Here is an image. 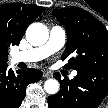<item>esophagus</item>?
Here are the masks:
<instances>
[{
	"label": "esophagus",
	"mask_w": 108,
	"mask_h": 108,
	"mask_svg": "<svg viewBox=\"0 0 108 108\" xmlns=\"http://www.w3.org/2000/svg\"><path fill=\"white\" fill-rule=\"evenodd\" d=\"M52 76V73L51 72H48V71H44L43 72V77L44 78H50Z\"/></svg>",
	"instance_id": "34e87169"
}]
</instances>
